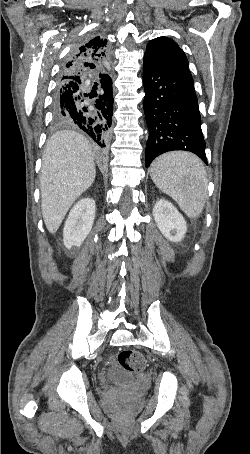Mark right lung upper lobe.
<instances>
[{
    "label": "right lung upper lobe",
    "mask_w": 250,
    "mask_h": 454,
    "mask_svg": "<svg viewBox=\"0 0 250 454\" xmlns=\"http://www.w3.org/2000/svg\"><path fill=\"white\" fill-rule=\"evenodd\" d=\"M107 40L99 36L93 37L76 49L75 53L64 63L59 86L71 82H80L85 76L101 75L107 70L109 61Z\"/></svg>",
    "instance_id": "obj_1"
}]
</instances>
